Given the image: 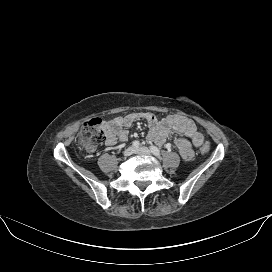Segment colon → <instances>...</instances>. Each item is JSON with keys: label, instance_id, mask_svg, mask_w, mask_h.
I'll list each match as a JSON object with an SVG mask.
<instances>
[{"label": "colon", "instance_id": "1", "mask_svg": "<svg viewBox=\"0 0 272 272\" xmlns=\"http://www.w3.org/2000/svg\"><path fill=\"white\" fill-rule=\"evenodd\" d=\"M101 121L97 118H93L81 127L79 130L75 142L81 147H94L96 144L102 142L105 138V133L101 127ZM210 150L209 143H205L201 147L203 153H207Z\"/></svg>", "mask_w": 272, "mask_h": 272}]
</instances>
